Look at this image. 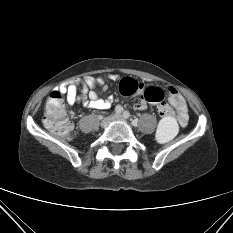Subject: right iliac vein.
<instances>
[{"instance_id": "1", "label": "right iliac vein", "mask_w": 233, "mask_h": 233, "mask_svg": "<svg viewBox=\"0 0 233 233\" xmlns=\"http://www.w3.org/2000/svg\"><path fill=\"white\" fill-rule=\"evenodd\" d=\"M115 116L117 115H114V116H109V117H106L102 120L101 122V127H106L109 125V123L115 118Z\"/></svg>"}]
</instances>
